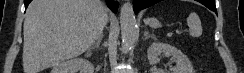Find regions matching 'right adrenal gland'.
Wrapping results in <instances>:
<instances>
[{"label": "right adrenal gland", "mask_w": 244, "mask_h": 73, "mask_svg": "<svg viewBox=\"0 0 244 73\" xmlns=\"http://www.w3.org/2000/svg\"><path fill=\"white\" fill-rule=\"evenodd\" d=\"M102 39H103V35H101L97 39V41L94 43V45L88 51H90L91 49H94V48H98L100 46V43H101Z\"/></svg>", "instance_id": "1"}]
</instances>
